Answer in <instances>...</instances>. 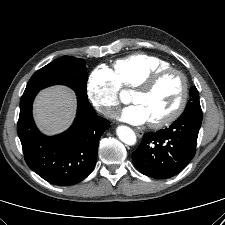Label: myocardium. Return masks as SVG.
Instances as JSON below:
<instances>
[{
  "mask_svg": "<svg viewBox=\"0 0 225 225\" xmlns=\"http://www.w3.org/2000/svg\"><path fill=\"white\" fill-rule=\"evenodd\" d=\"M169 74H175L178 76L181 82V95L179 101L175 108L168 113L166 116L155 120L149 121V124L153 128H162L172 122H174L183 112L188 98V81L184 73L176 68H166L155 72L145 78L142 82H140L135 88L134 91H141V92H149L151 91L164 77Z\"/></svg>",
  "mask_w": 225,
  "mask_h": 225,
  "instance_id": "obj_1",
  "label": "myocardium"
}]
</instances>
